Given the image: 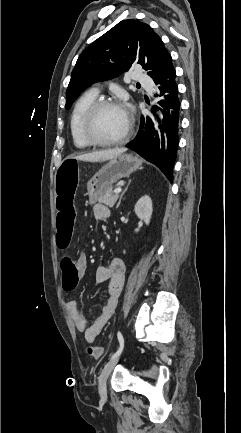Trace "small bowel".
<instances>
[{
    "label": "small bowel",
    "instance_id": "obj_1",
    "mask_svg": "<svg viewBox=\"0 0 241 433\" xmlns=\"http://www.w3.org/2000/svg\"><path fill=\"white\" fill-rule=\"evenodd\" d=\"M56 172H58V169ZM109 215L110 211L106 205L97 203L93 206V216L96 220H104L108 218ZM77 268L80 274H84L86 271L87 259L83 253L80 254L78 258ZM124 274L125 264L120 258H112L108 265L97 267L95 272L96 281H108V288L101 313L93 323H89L85 316L80 312L76 301L70 300L65 304L66 311L75 328L84 335V338L88 343L95 341L103 327L114 314L123 287Z\"/></svg>",
    "mask_w": 241,
    "mask_h": 433
}]
</instances>
